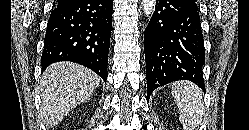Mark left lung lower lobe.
Instances as JSON below:
<instances>
[{"instance_id":"1","label":"left lung lower lobe","mask_w":249,"mask_h":130,"mask_svg":"<svg viewBox=\"0 0 249 130\" xmlns=\"http://www.w3.org/2000/svg\"><path fill=\"white\" fill-rule=\"evenodd\" d=\"M147 95L176 80L205 89L204 40L194 0H157L144 32Z\"/></svg>"}]
</instances>
